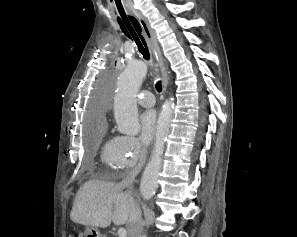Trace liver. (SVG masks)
Instances as JSON below:
<instances>
[{"label":"liver","mask_w":297,"mask_h":237,"mask_svg":"<svg viewBox=\"0 0 297 237\" xmlns=\"http://www.w3.org/2000/svg\"><path fill=\"white\" fill-rule=\"evenodd\" d=\"M112 182L91 180L78 190L70 218L73 222L106 228L127 223L130 212L128 196Z\"/></svg>","instance_id":"obj_1"}]
</instances>
